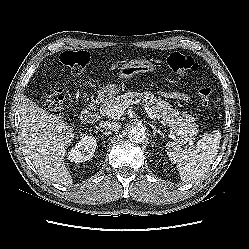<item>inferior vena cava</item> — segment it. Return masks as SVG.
<instances>
[{
  "instance_id": "obj_1",
  "label": "inferior vena cava",
  "mask_w": 249,
  "mask_h": 249,
  "mask_svg": "<svg viewBox=\"0 0 249 249\" xmlns=\"http://www.w3.org/2000/svg\"><path fill=\"white\" fill-rule=\"evenodd\" d=\"M100 127L108 129V130H112V131H118L121 128V124L119 122H115V121H103L100 122Z\"/></svg>"
}]
</instances>
